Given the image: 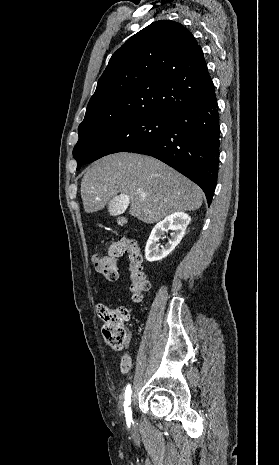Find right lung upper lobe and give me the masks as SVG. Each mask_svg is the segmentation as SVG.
<instances>
[{
    "label": "right lung upper lobe",
    "mask_w": 279,
    "mask_h": 465,
    "mask_svg": "<svg viewBox=\"0 0 279 465\" xmlns=\"http://www.w3.org/2000/svg\"><path fill=\"white\" fill-rule=\"evenodd\" d=\"M203 51L180 23L156 21L111 57L78 130L202 100L212 87Z\"/></svg>",
    "instance_id": "1"
}]
</instances>
